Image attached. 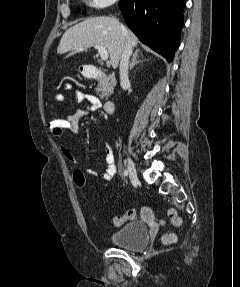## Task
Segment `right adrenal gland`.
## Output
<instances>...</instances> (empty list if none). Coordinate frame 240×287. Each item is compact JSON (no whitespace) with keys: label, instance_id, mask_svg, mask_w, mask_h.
<instances>
[{"label":"right adrenal gland","instance_id":"1","mask_svg":"<svg viewBox=\"0 0 240 287\" xmlns=\"http://www.w3.org/2000/svg\"><path fill=\"white\" fill-rule=\"evenodd\" d=\"M139 52H140L139 49H136V50H135V52H134V54H133V57H132V61H131L130 65H129V70H132L133 67H134L136 64H138V63H140V62H143L142 60L137 59V58H139Z\"/></svg>","mask_w":240,"mask_h":287}]
</instances>
